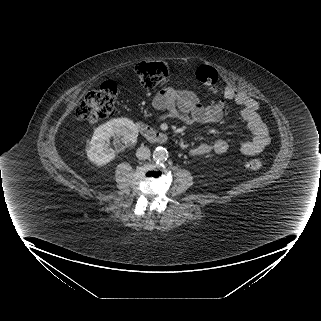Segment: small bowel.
Listing matches in <instances>:
<instances>
[{
  "label": "small bowel",
  "instance_id": "obj_1",
  "mask_svg": "<svg viewBox=\"0 0 321 321\" xmlns=\"http://www.w3.org/2000/svg\"><path fill=\"white\" fill-rule=\"evenodd\" d=\"M224 97L226 101L234 102L241 107L240 115L247 123L251 133L250 138L240 144V150L245 155L260 153L270 141L269 130L258 109V102L244 92L234 88H226ZM154 107L161 111L160 118L178 119L188 125L219 123L225 113V103L218 102L205 106L199 97L192 91L178 88H167L156 94L153 100ZM228 151V143L218 139L212 143H201L190 149L193 156H204L210 152L223 156Z\"/></svg>",
  "mask_w": 321,
  "mask_h": 321
}]
</instances>
